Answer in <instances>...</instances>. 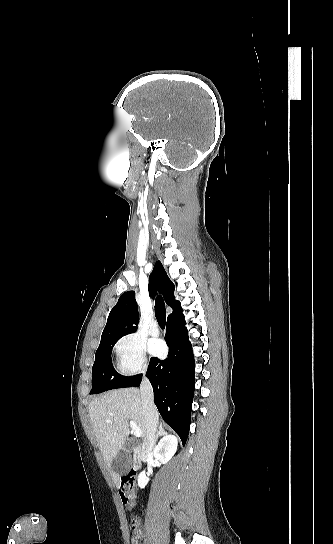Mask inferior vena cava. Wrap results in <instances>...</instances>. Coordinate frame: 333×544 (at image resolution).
I'll return each instance as SVG.
<instances>
[{"label":"inferior vena cava","mask_w":333,"mask_h":544,"mask_svg":"<svg viewBox=\"0 0 333 544\" xmlns=\"http://www.w3.org/2000/svg\"><path fill=\"white\" fill-rule=\"evenodd\" d=\"M140 392L145 415V424L147 427V435L142 444V454L146 459L152 454L155 445V433L158 424V411L154 404L153 388L147 378H143L140 385Z\"/></svg>","instance_id":"inferior-vena-cava-1"}]
</instances>
